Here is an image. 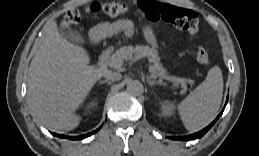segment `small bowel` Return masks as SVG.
Masks as SVG:
<instances>
[{
  "instance_id": "1",
  "label": "small bowel",
  "mask_w": 259,
  "mask_h": 156,
  "mask_svg": "<svg viewBox=\"0 0 259 156\" xmlns=\"http://www.w3.org/2000/svg\"><path fill=\"white\" fill-rule=\"evenodd\" d=\"M133 30H134V25L131 21H128V20L117 21L113 23L99 22L92 29V36L94 38H101L119 31L130 34L133 32Z\"/></svg>"
}]
</instances>
